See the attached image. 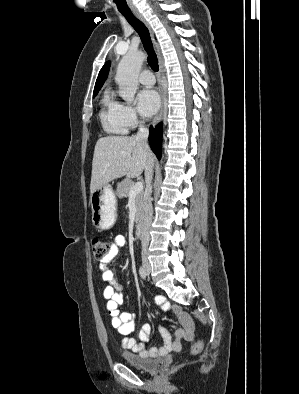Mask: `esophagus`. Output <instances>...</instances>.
Segmentation results:
<instances>
[{"mask_svg": "<svg viewBox=\"0 0 299 394\" xmlns=\"http://www.w3.org/2000/svg\"><path fill=\"white\" fill-rule=\"evenodd\" d=\"M134 15L148 28V30L153 38L155 51H156V54L158 57V62H159L158 84H159V94H160V98H161V103H160L159 111L156 114L154 121H153V125H156L157 123H159L161 121L163 114H164V110H165V94H164L163 86H162L163 64L164 63H163V58H162V54L160 51V47L158 46V44L154 40V34H153V31H152L149 23L145 20V18L140 13L134 11Z\"/></svg>", "mask_w": 299, "mask_h": 394, "instance_id": "1", "label": "esophagus"}]
</instances>
